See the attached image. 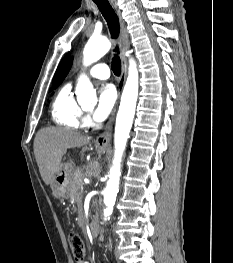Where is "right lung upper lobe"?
Here are the masks:
<instances>
[{
  "mask_svg": "<svg viewBox=\"0 0 233 263\" xmlns=\"http://www.w3.org/2000/svg\"><path fill=\"white\" fill-rule=\"evenodd\" d=\"M73 59L71 58L67 64L62 68V70L57 75L56 79L54 80L53 87H58L59 84L64 80L65 76L68 74L71 65H72Z\"/></svg>",
  "mask_w": 233,
  "mask_h": 263,
  "instance_id": "1",
  "label": "right lung upper lobe"
}]
</instances>
